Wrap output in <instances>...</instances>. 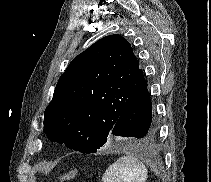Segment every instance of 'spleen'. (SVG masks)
<instances>
[{
    "instance_id": "obj_1",
    "label": "spleen",
    "mask_w": 211,
    "mask_h": 182,
    "mask_svg": "<svg viewBox=\"0 0 211 182\" xmlns=\"http://www.w3.org/2000/svg\"><path fill=\"white\" fill-rule=\"evenodd\" d=\"M147 169L133 156H123L110 165L103 177V182H145Z\"/></svg>"
}]
</instances>
